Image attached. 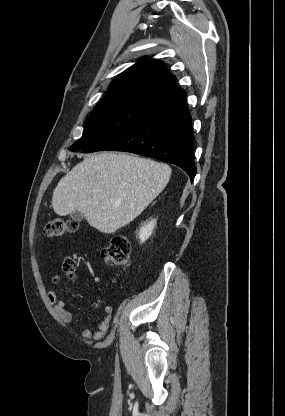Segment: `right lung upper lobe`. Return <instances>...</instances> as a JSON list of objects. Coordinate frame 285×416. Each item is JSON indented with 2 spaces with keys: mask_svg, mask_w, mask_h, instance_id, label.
Listing matches in <instances>:
<instances>
[{
  "mask_svg": "<svg viewBox=\"0 0 285 416\" xmlns=\"http://www.w3.org/2000/svg\"><path fill=\"white\" fill-rule=\"evenodd\" d=\"M121 95L137 96L162 108L186 101V92L176 86L166 65L151 59H143L118 75L103 100Z\"/></svg>",
  "mask_w": 285,
  "mask_h": 416,
  "instance_id": "right-lung-upper-lobe-1",
  "label": "right lung upper lobe"
}]
</instances>
